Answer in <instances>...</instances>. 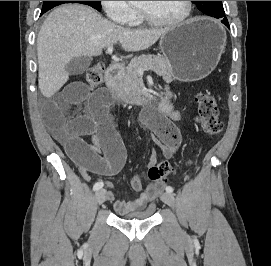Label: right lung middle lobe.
Instances as JSON below:
<instances>
[{"instance_id": "obj_1", "label": "right lung middle lobe", "mask_w": 271, "mask_h": 266, "mask_svg": "<svg viewBox=\"0 0 271 266\" xmlns=\"http://www.w3.org/2000/svg\"><path fill=\"white\" fill-rule=\"evenodd\" d=\"M65 3H81L89 5L98 11L101 9L100 1H43V7L41 13H45L46 11L50 10L51 8Z\"/></svg>"}]
</instances>
